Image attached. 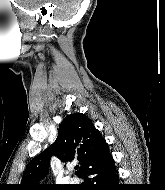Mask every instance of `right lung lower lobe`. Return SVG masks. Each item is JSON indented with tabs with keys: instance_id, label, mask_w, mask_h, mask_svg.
Here are the masks:
<instances>
[{
	"instance_id": "right-lung-lower-lobe-1",
	"label": "right lung lower lobe",
	"mask_w": 165,
	"mask_h": 190,
	"mask_svg": "<svg viewBox=\"0 0 165 190\" xmlns=\"http://www.w3.org/2000/svg\"><path fill=\"white\" fill-rule=\"evenodd\" d=\"M85 180V190H123L119 184L118 172L114 160L109 154L94 167L80 175Z\"/></svg>"
}]
</instances>
